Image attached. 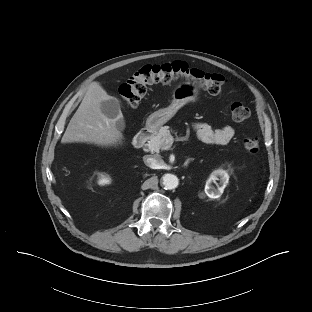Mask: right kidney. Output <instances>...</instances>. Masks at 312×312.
I'll use <instances>...</instances> for the list:
<instances>
[{
    "instance_id": "obj_1",
    "label": "right kidney",
    "mask_w": 312,
    "mask_h": 312,
    "mask_svg": "<svg viewBox=\"0 0 312 312\" xmlns=\"http://www.w3.org/2000/svg\"><path fill=\"white\" fill-rule=\"evenodd\" d=\"M110 182V179L108 177L102 176V178L99 180V184H108Z\"/></svg>"
}]
</instances>
